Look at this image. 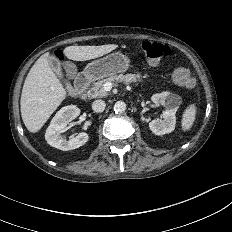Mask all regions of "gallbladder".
I'll return each mask as SVG.
<instances>
[{"instance_id":"1","label":"gallbladder","mask_w":232,"mask_h":232,"mask_svg":"<svg viewBox=\"0 0 232 232\" xmlns=\"http://www.w3.org/2000/svg\"><path fill=\"white\" fill-rule=\"evenodd\" d=\"M48 63L57 75L62 76L61 63L55 55L48 56Z\"/></svg>"}]
</instances>
